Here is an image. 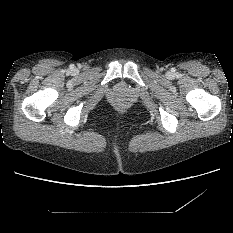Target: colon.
<instances>
[{
    "label": "colon",
    "instance_id": "colon-1",
    "mask_svg": "<svg viewBox=\"0 0 233 233\" xmlns=\"http://www.w3.org/2000/svg\"><path fill=\"white\" fill-rule=\"evenodd\" d=\"M116 107L119 109V110H122L124 108V103L122 101H118L116 103Z\"/></svg>",
    "mask_w": 233,
    "mask_h": 233
}]
</instances>
